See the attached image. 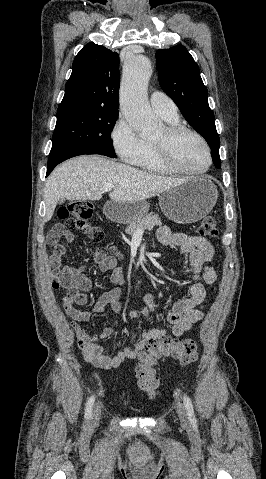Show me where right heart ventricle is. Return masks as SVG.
<instances>
[{
  "mask_svg": "<svg viewBox=\"0 0 266 479\" xmlns=\"http://www.w3.org/2000/svg\"><path fill=\"white\" fill-rule=\"evenodd\" d=\"M162 117V116H161ZM168 124H179L178 117L166 118L162 117ZM145 149L142 156L135 163L143 171L153 174H169L171 173L159 160L155 145L152 139H144Z\"/></svg>",
  "mask_w": 266,
  "mask_h": 479,
  "instance_id": "right-heart-ventricle-1",
  "label": "right heart ventricle"
}]
</instances>
